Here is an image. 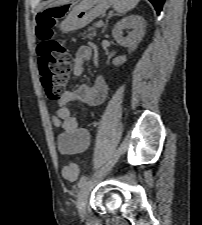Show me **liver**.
<instances>
[{
    "instance_id": "obj_1",
    "label": "liver",
    "mask_w": 202,
    "mask_h": 225,
    "mask_svg": "<svg viewBox=\"0 0 202 225\" xmlns=\"http://www.w3.org/2000/svg\"><path fill=\"white\" fill-rule=\"evenodd\" d=\"M68 2H70V0H57L53 5L57 6V5H62Z\"/></svg>"
}]
</instances>
